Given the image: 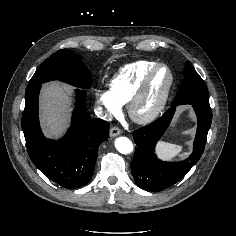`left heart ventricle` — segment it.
Segmentation results:
<instances>
[{
    "label": "left heart ventricle",
    "instance_id": "b2bd125f",
    "mask_svg": "<svg viewBox=\"0 0 236 236\" xmlns=\"http://www.w3.org/2000/svg\"><path fill=\"white\" fill-rule=\"evenodd\" d=\"M168 81V73L165 69H160L152 78L148 90L138 111L141 114L149 112L160 99Z\"/></svg>",
    "mask_w": 236,
    "mask_h": 236
}]
</instances>
